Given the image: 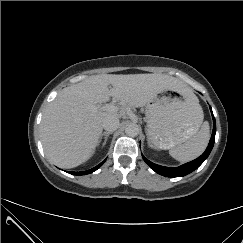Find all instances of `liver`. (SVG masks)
I'll return each mask as SVG.
<instances>
[{"label": "liver", "instance_id": "1", "mask_svg": "<svg viewBox=\"0 0 243 243\" xmlns=\"http://www.w3.org/2000/svg\"><path fill=\"white\" fill-rule=\"evenodd\" d=\"M166 90L189 91L181 81L165 74H100L62 89L41 121L46 155L61 168L79 166L99 145L103 121L124 114V108L115 112L98 110V103L113 97L123 106L142 107Z\"/></svg>", "mask_w": 243, "mask_h": 243}]
</instances>
